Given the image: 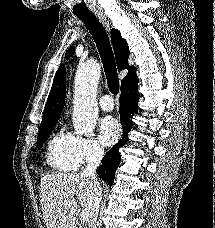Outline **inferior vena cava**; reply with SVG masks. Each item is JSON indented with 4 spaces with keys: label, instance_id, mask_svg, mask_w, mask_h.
Wrapping results in <instances>:
<instances>
[{
    "label": "inferior vena cava",
    "instance_id": "obj_1",
    "mask_svg": "<svg viewBox=\"0 0 215 228\" xmlns=\"http://www.w3.org/2000/svg\"><path fill=\"white\" fill-rule=\"evenodd\" d=\"M104 156L103 148H94L91 156L86 158V168L82 170L81 176H87L90 178V188L92 190V204H91V218L87 222V228H98L97 214L100 208V202L102 200V188L97 182L96 170L101 164V160Z\"/></svg>",
    "mask_w": 215,
    "mask_h": 228
}]
</instances>
